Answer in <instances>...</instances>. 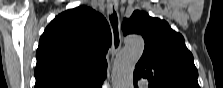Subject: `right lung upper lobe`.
<instances>
[{
  "label": "right lung upper lobe",
  "instance_id": "1",
  "mask_svg": "<svg viewBox=\"0 0 223 88\" xmlns=\"http://www.w3.org/2000/svg\"><path fill=\"white\" fill-rule=\"evenodd\" d=\"M111 39L105 18L89 7L59 14L39 40L35 88H92L105 78Z\"/></svg>",
  "mask_w": 223,
  "mask_h": 88
}]
</instances>
